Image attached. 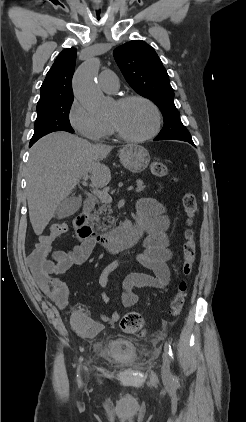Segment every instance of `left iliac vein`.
<instances>
[{
	"instance_id": "1",
	"label": "left iliac vein",
	"mask_w": 246,
	"mask_h": 422,
	"mask_svg": "<svg viewBox=\"0 0 246 422\" xmlns=\"http://www.w3.org/2000/svg\"><path fill=\"white\" fill-rule=\"evenodd\" d=\"M162 379L169 381L171 379L170 359L168 353L165 351L162 355Z\"/></svg>"
}]
</instances>
